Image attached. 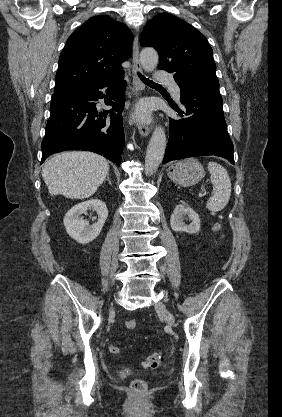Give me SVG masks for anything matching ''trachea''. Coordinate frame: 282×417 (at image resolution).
<instances>
[{
    "label": "trachea",
    "mask_w": 282,
    "mask_h": 417,
    "mask_svg": "<svg viewBox=\"0 0 282 417\" xmlns=\"http://www.w3.org/2000/svg\"><path fill=\"white\" fill-rule=\"evenodd\" d=\"M138 75L142 82H144V84L146 83V85H160L159 83L153 82L152 80H149V78L144 77L141 73H138Z\"/></svg>",
    "instance_id": "1"
}]
</instances>
